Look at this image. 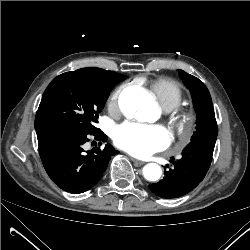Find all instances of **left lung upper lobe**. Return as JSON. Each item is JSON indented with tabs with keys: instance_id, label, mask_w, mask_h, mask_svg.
<instances>
[{
	"instance_id": "5c2ea615",
	"label": "left lung upper lobe",
	"mask_w": 250,
	"mask_h": 250,
	"mask_svg": "<svg viewBox=\"0 0 250 250\" xmlns=\"http://www.w3.org/2000/svg\"><path fill=\"white\" fill-rule=\"evenodd\" d=\"M179 75L186 87L190 89L194 109L197 114L196 132L192 141L209 136H217L218 127L212 99L207 87L198 78L184 72L183 70L179 71Z\"/></svg>"
}]
</instances>
